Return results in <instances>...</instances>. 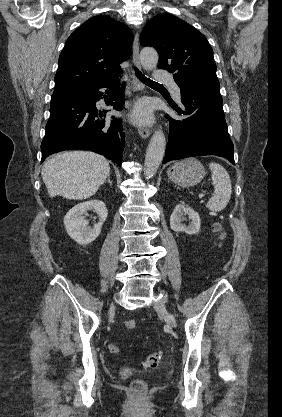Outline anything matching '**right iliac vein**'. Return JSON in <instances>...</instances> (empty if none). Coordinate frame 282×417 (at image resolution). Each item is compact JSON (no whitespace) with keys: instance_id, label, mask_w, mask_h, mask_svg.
Returning a JSON list of instances; mask_svg holds the SVG:
<instances>
[{"instance_id":"obj_1","label":"right iliac vein","mask_w":282,"mask_h":417,"mask_svg":"<svg viewBox=\"0 0 282 417\" xmlns=\"http://www.w3.org/2000/svg\"><path fill=\"white\" fill-rule=\"evenodd\" d=\"M115 310V306L114 305H111V307H110V312H113Z\"/></svg>"}]
</instances>
